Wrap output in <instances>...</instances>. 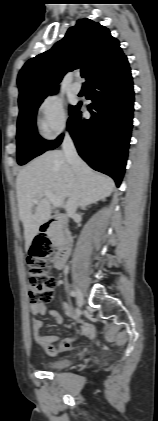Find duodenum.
Here are the masks:
<instances>
[{"label":"duodenum","instance_id":"410a0bca","mask_svg":"<svg viewBox=\"0 0 158 421\" xmlns=\"http://www.w3.org/2000/svg\"><path fill=\"white\" fill-rule=\"evenodd\" d=\"M64 223H65V220L61 216L50 217L41 225L40 232L42 234H46L50 230L51 227L53 226L63 227ZM72 243H73V240H72V236L70 232L65 230L61 238L58 252L54 259V266L56 269H61L66 264L67 259L71 253Z\"/></svg>","mask_w":158,"mask_h":421}]
</instances>
